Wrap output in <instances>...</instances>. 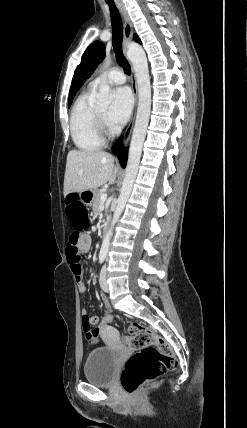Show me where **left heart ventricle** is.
<instances>
[{"label":"left heart ventricle","instance_id":"b2bd125f","mask_svg":"<svg viewBox=\"0 0 247 428\" xmlns=\"http://www.w3.org/2000/svg\"><path fill=\"white\" fill-rule=\"evenodd\" d=\"M97 111L101 114V116L106 119L107 108H98Z\"/></svg>","mask_w":247,"mask_h":428}]
</instances>
